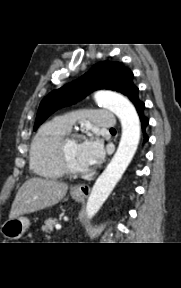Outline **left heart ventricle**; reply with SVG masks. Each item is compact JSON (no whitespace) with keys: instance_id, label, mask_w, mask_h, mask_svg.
<instances>
[{"instance_id":"obj_1","label":"left heart ventricle","mask_w":181,"mask_h":288,"mask_svg":"<svg viewBox=\"0 0 181 288\" xmlns=\"http://www.w3.org/2000/svg\"><path fill=\"white\" fill-rule=\"evenodd\" d=\"M79 141L72 140L67 143L65 152L70 165L77 170H85L87 167L83 164L79 153Z\"/></svg>"}]
</instances>
